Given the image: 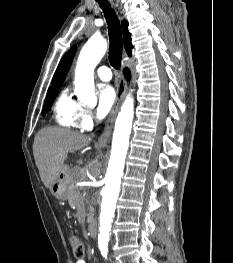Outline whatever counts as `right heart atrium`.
Segmentation results:
<instances>
[{
    "mask_svg": "<svg viewBox=\"0 0 233 263\" xmlns=\"http://www.w3.org/2000/svg\"><path fill=\"white\" fill-rule=\"evenodd\" d=\"M78 127L81 130H89L94 124V116L90 109L81 107L77 117Z\"/></svg>",
    "mask_w": 233,
    "mask_h": 263,
    "instance_id": "d8ad5b80",
    "label": "right heart atrium"
}]
</instances>
